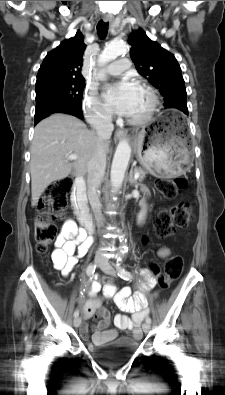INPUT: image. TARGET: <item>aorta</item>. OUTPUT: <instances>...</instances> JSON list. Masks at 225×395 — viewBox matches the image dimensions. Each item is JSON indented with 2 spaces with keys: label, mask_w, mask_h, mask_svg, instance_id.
Instances as JSON below:
<instances>
[{
  "label": "aorta",
  "mask_w": 225,
  "mask_h": 395,
  "mask_svg": "<svg viewBox=\"0 0 225 395\" xmlns=\"http://www.w3.org/2000/svg\"><path fill=\"white\" fill-rule=\"evenodd\" d=\"M127 51V45L122 41L109 43L99 55L98 63L105 65L116 59L119 55ZM99 77L103 79V75ZM131 156V148L127 140H121L116 148L110 172L111 185L114 190H119L122 186L128 162ZM127 247L123 243L120 254H124Z\"/></svg>",
  "instance_id": "aorta-1"
}]
</instances>
